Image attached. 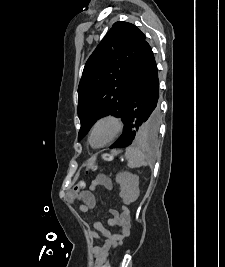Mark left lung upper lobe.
I'll return each mask as SVG.
<instances>
[{"label":"left lung upper lobe","instance_id":"5c2ea615","mask_svg":"<svg viewBox=\"0 0 225 267\" xmlns=\"http://www.w3.org/2000/svg\"><path fill=\"white\" fill-rule=\"evenodd\" d=\"M145 35L135 25L118 21L87 60L78 87V116L82 139L101 117L124 119L126 101ZM158 127L141 121L135 139H152Z\"/></svg>","mask_w":225,"mask_h":267}]
</instances>
